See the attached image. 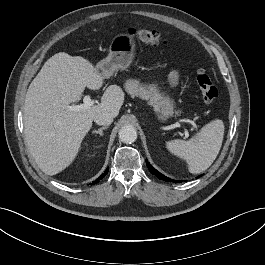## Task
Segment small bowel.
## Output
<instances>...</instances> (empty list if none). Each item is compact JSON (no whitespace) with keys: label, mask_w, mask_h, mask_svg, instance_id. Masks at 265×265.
I'll list each match as a JSON object with an SVG mask.
<instances>
[{"label":"small bowel","mask_w":265,"mask_h":265,"mask_svg":"<svg viewBox=\"0 0 265 265\" xmlns=\"http://www.w3.org/2000/svg\"><path fill=\"white\" fill-rule=\"evenodd\" d=\"M178 80V75L176 72H171L169 75V81L172 85H175L177 83Z\"/></svg>","instance_id":"1"}]
</instances>
